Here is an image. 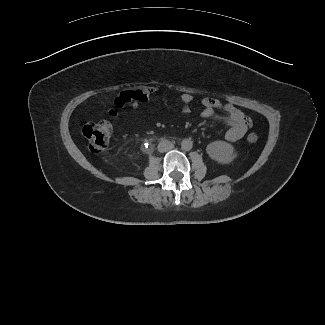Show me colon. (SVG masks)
Returning <instances> with one entry per match:
<instances>
[{"mask_svg": "<svg viewBox=\"0 0 325 325\" xmlns=\"http://www.w3.org/2000/svg\"><path fill=\"white\" fill-rule=\"evenodd\" d=\"M135 108L137 106H134ZM83 136L87 139L89 148L93 152H102L106 150L112 134V127L107 121L89 123L82 129ZM258 140V135L250 133L247 136V141L255 143Z\"/></svg>", "mask_w": 325, "mask_h": 325, "instance_id": "1", "label": "colon"}]
</instances>
